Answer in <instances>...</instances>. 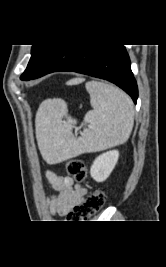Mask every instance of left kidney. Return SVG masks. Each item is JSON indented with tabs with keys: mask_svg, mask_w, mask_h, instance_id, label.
Wrapping results in <instances>:
<instances>
[{
	"mask_svg": "<svg viewBox=\"0 0 166 267\" xmlns=\"http://www.w3.org/2000/svg\"><path fill=\"white\" fill-rule=\"evenodd\" d=\"M119 157L117 150H111L99 155L93 162L90 175L97 182L105 181L113 171Z\"/></svg>",
	"mask_w": 166,
	"mask_h": 267,
	"instance_id": "obj_1",
	"label": "left kidney"
}]
</instances>
